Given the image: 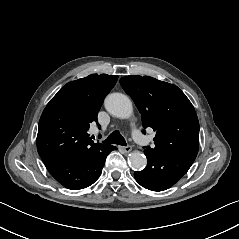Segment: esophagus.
<instances>
[{
    "label": "esophagus",
    "mask_w": 239,
    "mask_h": 239,
    "mask_svg": "<svg viewBox=\"0 0 239 239\" xmlns=\"http://www.w3.org/2000/svg\"><path fill=\"white\" fill-rule=\"evenodd\" d=\"M124 152L129 153L132 150V147L130 145L123 147Z\"/></svg>",
    "instance_id": "obj_1"
}]
</instances>
